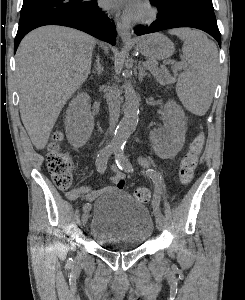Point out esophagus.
<instances>
[{
  "instance_id": "34e87169",
  "label": "esophagus",
  "mask_w": 245,
  "mask_h": 300,
  "mask_svg": "<svg viewBox=\"0 0 245 300\" xmlns=\"http://www.w3.org/2000/svg\"><path fill=\"white\" fill-rule=\"evenodd\" d=\"M116 26H117L118 34L121 37L122 41L124 42L131 41L132 38H131L130 26L120 21L116 22Z\"/></svg>"
}]
</instances>
